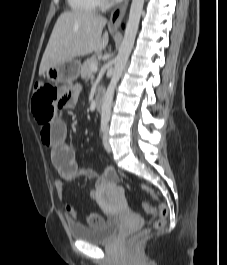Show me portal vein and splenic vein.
Wrapping results in <instances>:
<instances>
[{"label": "portal vein and splenic vein", "instance_id": "1", "mask_svg": "<svg viewBox=\"0 0 227 265\" xmlns=\"http://www.w3.org/2000/svg\"><path fill=\"white\" fill-rule=\"evenodd\" d=\"M97 70H98V66H97V65H93V66L91 67V72H92V73H96Z\"/></svg>", "mask_w": 227, "mask_h": 265}]
</instances>
